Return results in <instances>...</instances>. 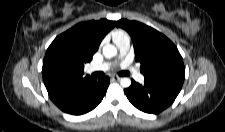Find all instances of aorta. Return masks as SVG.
Returning a JSON list of instances; mask_svg holds the SVG:
<instances>
[{
  "label": "aorta",
  "mask_w": 225,
  "mask_h": 132,
  "mask_svg": "<svg viewBox=\"0 0 225 132\" xmlns=\"http://www.w3.org/2000/svg\"><path fill=\"white\" fill-rule=\"evenodd\" d=\"M103 55L105 58H113L117 55V48L114 45L106 44L103 47ZM120 85L123 88H128L131 85V80L127 77L121 78Z\"/></svg>",
  "instance_id": "aorta-1"
}]
</instances>
